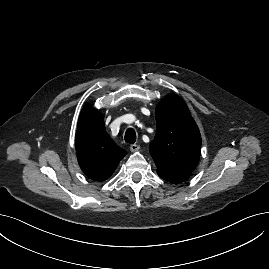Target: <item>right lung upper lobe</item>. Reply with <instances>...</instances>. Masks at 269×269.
Returning a JSON list of instances; mask_svg holds the SVG:
<instances>
[{
	"instance_id": "right-lung-upper-lobe-1",
	"label": "right lung upper lobe",
	"mask_w": 269,
	"mask_h": 269,
	"mask_svg": "<svg viewBox=\"0 0 269 269\" xmlns=\"http://www.w3.org/2000/svg\"><path fill=\"white\" fill-rule=\"evenodd\" d=\"M75 148L80 168L96 181L108 179L127 154L107 134L101 114L88 106L79 116Z\"/></svg>"
}]
</instances>
